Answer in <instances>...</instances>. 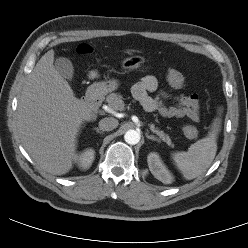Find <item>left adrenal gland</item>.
Instances as JSON below:
<instances>
[{"label":"left adrenal gland","mask_w":248,"mask_h":248,"mask_svg":"<svg viewBox=\"0 0 248 248\" xmlns=\"http://www.w3.org/2000/svg\"><path fill=\"white\" fill-rule=\"evenodd\" d=\"M146 138L151 139V140H153V141L159 142V139H157V138H156L155 136H153V135L146 134Z\"/></svg>","instance_id":"obj_1"}]
</instances>
